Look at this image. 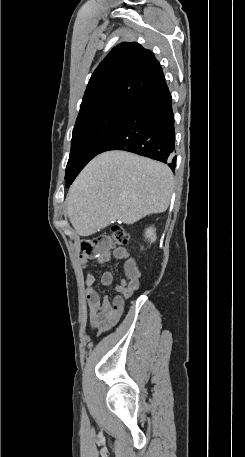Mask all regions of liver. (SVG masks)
Instances as JSON below:
<instances>
[{"label": "liver", "instance_id": "obj_1", "mask_svg": "<svg viewBox=\"0 0 245 457\" xmlns=\"http://www.w3.org/2000/svg\"><path fill=\"white\" fill-rule=\"evenodd\" d=\"M174 174L163 162L126 150H108L81 170L67 194V214L77 235L89 237L111 220L133 224L170 204Z\"/></svg>", "mask_w": 245, "mask_h": 457}]
</instances>
